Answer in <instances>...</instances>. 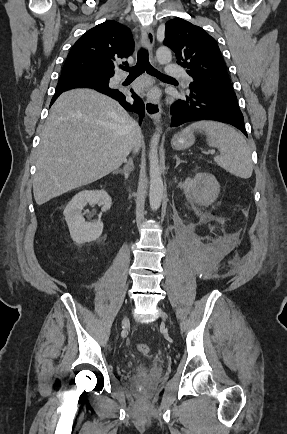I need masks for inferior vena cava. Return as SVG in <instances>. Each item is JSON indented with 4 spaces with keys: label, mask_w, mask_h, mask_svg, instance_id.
<instances>
[{
    "label": "inferior vena cava",
    "mask_w": 287,
    "mask_h": 434,
    "mask_svg": "<svg viewBox=\"0 0 287 434\" xmlns=\"http://www.w3.org/2000/svg\"><path fill=\"white\" fill-rule=\"evenodd\" d=\"M141 129L140 127L136 124V128L134 131V143H133V152L137 153L140 149V142H141Z\"/></svg>",
    "instance_id": "602c4592"
}]
</instances>
